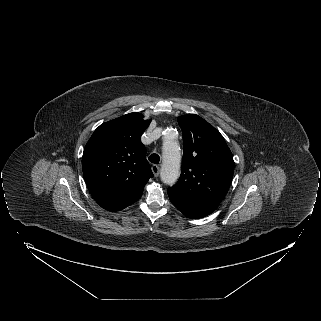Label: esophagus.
<instances>
[{"instance_id": "esophagus-1", "label": "esophagus", "mask_w": 321, "mask_h": 321, "mask_svg": "<svg viewBox=\"0 0 321 321\" xmlns=\"http://www.w3.org/2000/svg\"><path fill=\"white\" fill-rule=\"evenodd\" d=\"M151 170L155 177H158L160 174V167L156 164L152 165Z\"/></svg>"}]
</instances>
